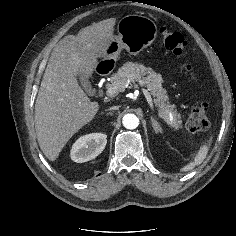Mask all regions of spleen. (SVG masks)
<instances>
[{
  "label": "spleen",
  "mask_w": 236,
  "mask_h": 236,
  "mask_svg": "<svg viewBox=\"0 0 236 236\" xmlns=\"http://www.w3.org/2000/svg\"><path fill=\"white\" fill-rule=\"evenodd\" d=\"M212 142V138L209 139V141L204 144L203 146L200 147V149L198 150V152L196 153L195 157H194V161L189 163L188 165L184 166L181 171H190L192 170L195 166L200 165L204 159L206 158L207 154H208V150L210 147V144Z\"/></svg>",
  "instance_id": "obj_1"
}]
</instances>
